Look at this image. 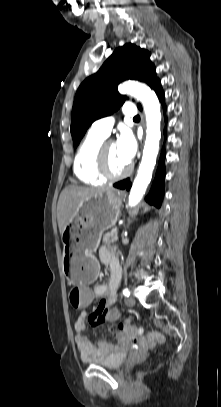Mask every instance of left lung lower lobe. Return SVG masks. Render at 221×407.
Instances as JSON below:
<instances>
[{
	"label": "left lung lower lobe",
	"mask_w": 221,
	"mask_h": 407,
	"mask_svg": "<svg viewBox=\"0 0 221 407\" xmlns=\"http://www.w3.org/2000/svg\"><path fill=\"white\" fill-rule=\"evenodd\" d=\"M152 89L158 95L163 107H165L164 93L162 91L160 81H158ZM139 108H141V107L139 106ZM164 158H165V152L163 150L161 153V156H160L159 165L157 168L155 179L153 181L151 190L146 198V200L150 204H153L158 208L161 206V202H162L163 195H164V177H165ZM114 187L119 188V189L126 188L127 190H129L131 187V184L129 183V179H126V180L115 183Z\"/></svg>",
	"instance_id": "obj_1"
}]
</instances>
